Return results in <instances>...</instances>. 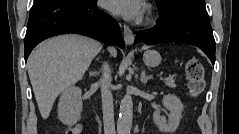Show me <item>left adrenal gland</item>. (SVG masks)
I'll list each match as a JSON object with an SVG mask.
<instances>
[{
    "mask_svg": "<svg viewBox=\"0 0 239 134\" xmlns=\"http://www.w3.org/2000/svg\"><path fill=\"white\" fill-rule=\"evenodd\" d=\"M152 78H153L152 75H150V76L146 75L145 70L142 71L141 76H140V80L143 84H146L148 82V80H150Z\"/></svg>",
    "mask_w": 239,
    "mask_h": 134,
    "instance_id": "a2214340",
    "label": "left adrenal gland"
}]
</instances>
